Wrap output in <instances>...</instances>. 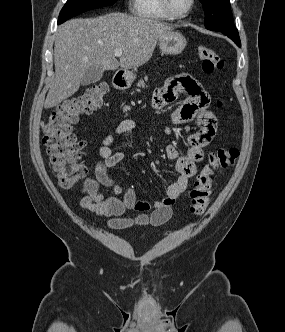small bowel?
I'll use <instances>...</instances> for the list:
<instances>
[{
  "label": "small bowel",
  "instance_id": "obj_1",
  "mask_svg": "<svg viewBox=\"0 0 285 332\" xmlns=\"http://www.w3.org/2000/svg\"><path fill=\"white\" fill-rule=\"evenodd\" d=\"M177 94H185L187 97L173 112L172 123L197 121L199 129L186 137V155L181 156L174 145L166 146V157L176 161L177 177L167 187L165 197L153 203L137 200L131 188L123 191L111 178L110 170L125 157L123 150L114 152L111 146L117 136L136 128L134 120L124 119L103 139L99 148L101 161L96 166L95 175L86 177L83 182L80 202L83 209L111 217L109 225L114 228L133 224L160 226L171 218L174 202L187 190L189 179L195 175L197 165L204 158V148L214 139L218 127L215 115L209 110V93L188 73L169 78L162 88L154 92L152 105L155 109H163L174 101ZM100 185L110 188L114 196L106 197L100 193ZM128 210L139 212L140 215L135 219L122 217Z\"/></svg>",
  "mask_w": 285,
  "mask_h": 332
}]
</instances>
